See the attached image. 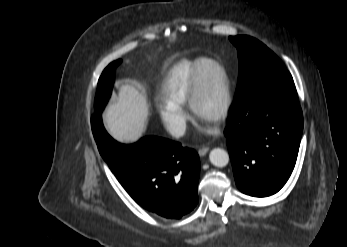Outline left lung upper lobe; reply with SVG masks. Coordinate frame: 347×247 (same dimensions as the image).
I'll list each match as a JSON object with an SVG mask.
<instances>
[{
	"instance_id": "5c2ea615",
	"label": "left lung upper lobe",
	"mask_w": 347,
	"mask_h": 247,
	"mask_svg": "<svg viewBox=\"0 0 347 247\" xmlns=\"http://www.w3.org/2000/svg\"><path fill=\"white\" fill-rule=\"evenodd\" d=\"M238 49L239 78L235 98H241L266 75L286 70L281 60L263 43L250 36L229 37Z\"/></svg>"
}]
</instances>
